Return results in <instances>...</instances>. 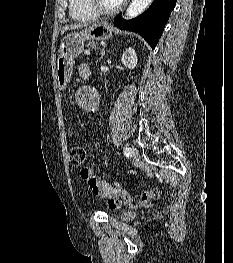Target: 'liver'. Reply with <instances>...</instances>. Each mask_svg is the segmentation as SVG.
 I'll return each mask as SVG.
<instances>
[{
	"label": "liver",
	"mask_w": 233,
	"mask_h": 263,
	"mask_svg": "<svg viewBox=\"0 0 233 263\" xmlns=\"http://www.w3.org/2000/svg\"><path fill=\"white\" fill-rule=\"evenodd\" d=\"M83 27H87V25H83V24H74V25H66L63 27L62 29V34L67 31V30H72V29H79V28H83Z\"/></svg>",
	"instance_id": "obj_1"
}]
</instances>
